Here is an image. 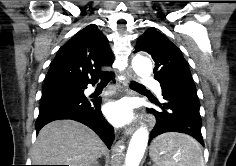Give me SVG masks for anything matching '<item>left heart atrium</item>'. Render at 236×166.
Listing matches in <instances>:
<instances>
[{
  "label": "left heart atrium",
  "mask_w": 236,
  "mask_h": 166,
  "mask_svg": "<svg viewBox=\"0 0 236 166\" xmlns=\"http://www.w3.org/2000/svg\"><path fill=\"white\" fill-rule=\"evenodd\" d=\"M105 115L115 125L129 123L133 119L131 103L127 100L111 103L105 108Z\"/></svg>",
  "instance_id": "1"
}]
</instances>
